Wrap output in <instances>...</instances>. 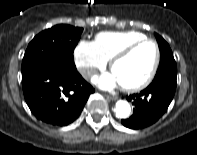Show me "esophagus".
Wrapping results in <instances>:
<instances>
[{
    "mask_svg": "<svg viewBox=\"0 0 197 155\" xmlns=\"http://www.w3.org/2000/svg\"><path fill=\"white\" fill-rule=\"evenodd\" d=\"M106 98H107L108 100H112V101H115V100L118 99L116 96H111V95H106Z\"/></svg>",
    "mask_w": 197,
    "mask_h": 155,
    "instance_id": "1",
    "label": "esophagus"
}]
</instances>
